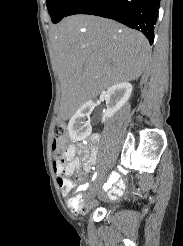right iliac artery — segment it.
<instances>
[{"mask_svg":"<svg viewBox=\"0 0 183 246\" xmlns=\"http://www.w3.org/2000/svg\"><path fill=\"white\" fill-rule=\"evenodd\" d=\"M96 176H97V173L94 174V176H93V178H92V181L95 180ZM116 179H118V175H117L116 173L113 172L112 175H111V177H110V179H109V183H112V182L115 181ZM104 188H105V189H108L109 186H108V185H105Z\"/></svg>","mask_w":183,"mask_h":246,"instance_id":"1","label":"right iliac artery"}]
</instances>
